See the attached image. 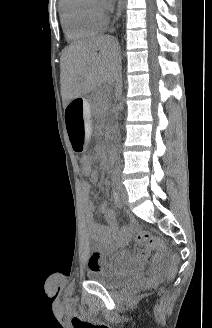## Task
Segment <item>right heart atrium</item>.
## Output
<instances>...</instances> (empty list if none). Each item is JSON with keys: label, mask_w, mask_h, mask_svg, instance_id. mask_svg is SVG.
<instances>
[{"label": "right heart atrium", "mask_w": 212, "mask_h": 328, "mask_svg": "<svg viewBox=\"0 0 212 328\" xmlns=\"http://www.w3.org/2000/svg\"><path fill=\"white\" fill-rule=\"evenodd\" d=\"M95 8L102 16H105V14L108 11V6L105 3H103L101 0H96Z\"/></svg>", "instance_id": "obj_1"}]
</instances>
